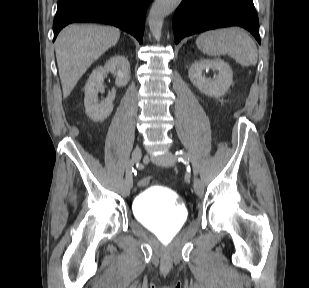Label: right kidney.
<instances>
[{"label": "right kidney", "mask_w": 309, "mask_h": 288, "mask_svg": "<svg viewBox=\"0 0 309 288\" xmlns=\"http://www.w3.org/2000/svg\"><path fill=\"white\" fill-rule=\"evenodd\" d=\"M107 72L116 76L115 84L118 87L126 86L130 80V64L125 57L114 56L104 66L97 67L90 75L85 85L84 106L86 114L94 121H103L111 114L116 90L112 89L107 98L98 101V93L104 92V78Z\"/></svg>", "instance_id": "obj_1"}]
</instances>
